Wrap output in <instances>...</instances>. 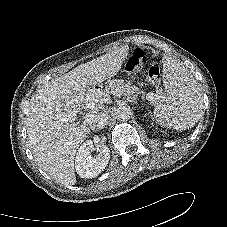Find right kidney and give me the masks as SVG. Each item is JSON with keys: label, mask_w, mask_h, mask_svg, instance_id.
Instances as JSON below:
<instances>
[{"label": "right kidney", "mask_w": 227, "mask_h": 227, "mask_svg": "<svg viewBox=\"0 0 227 227\" xmlns=\"http://www.w3.org/2000/svg\"><path fill=\"white\" fill-rule=\"evenodd\" d=\"M93 149V142L89 140L83 143L77 152L75 169L81 178H94L98 176L109 162L110 150L107 146L101 147L96 157L90 155Z\"/></svg>", "instance_id": "ca27d5eb"}]
</instances>
